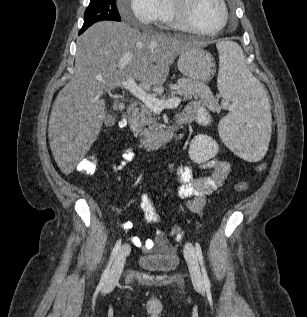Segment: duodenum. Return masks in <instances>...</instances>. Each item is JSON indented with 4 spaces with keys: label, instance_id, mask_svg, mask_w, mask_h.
I'll use <instances>...</instances> for the list:
<instances>
[{
    "label": "duodenum",
    "instance_id": "410a0bca",
    "mask_svg": "<svg viewBox=\"0 0 307 317\" xmlns=\"http://www.w3.org/2000/svg\"><path fill=\"white\" fill-rule=\"evenodd\" d=\"M139 113V105L132 103L127 109V121L132 134L137 138L140 146L143 149H149L161 143L167 142L171 139L176 131L185 123L186 119L183 117H177L173 124L166 130L152 137H145L142 135L138 124L137 117Z\"/></svg>",
    "mask_w": 307,
    "mask_h": 317
}]
</instances>
